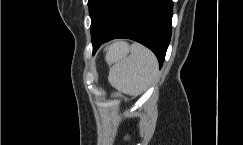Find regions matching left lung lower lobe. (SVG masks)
Returning a JSON list of instances; mask_svg holds the SVG:
<instances>
[{"label": "left lung lower lobe", "mask_w": 243, "mask_h": 145, "mask_svg": "<svg viewBox=\"0 0 243 145\" xmlns=\"http://www.w3.org/2000/svg\"><path fill=\"white\" fill-rule=\"evenodd\" d=\"M172 0H128L107 31L91 28L93 54L101 44L128 38L151 49L161 67L171 38Z\"/></svg>", "instance_id": "0a47b994"}]
</instances>
